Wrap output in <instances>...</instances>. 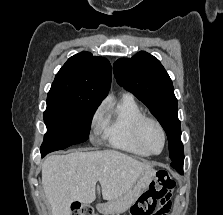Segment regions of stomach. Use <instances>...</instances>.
<instances>
[{"instance_id": "0dacf381", "label": "stomach", "mask_w": 223, "mask_h": 215, "mask_svg": "<svg viewBox=\"0 0 223 215\" xmlns=\"http://www.w3.org/2000/svg\"><path fill=\"white\" fill-rule=\"evenodd\" d=\"M156 175V169H144L140 173L136 183H134L131 189H128L127 193L119 195L117 199H111L107 203H98L97 209L100 213H122L127 209H132L135 201H138L140 195L145 193L149 189L150 183H152Z\"/></svg>"}]
</instances>
